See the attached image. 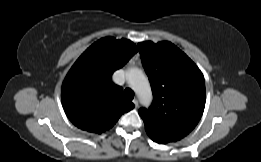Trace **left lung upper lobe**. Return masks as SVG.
<instances>
[{
    "label": "left lung upper lobe",
    "mask_w": 261,
    "mask_h": 162,
    "mask_svg": "<svg viewBox=\"0 0 261 162\" xmlns=\"http://www.w3.org/2000/svg\"><path fill=\"white\" fill-rule=\"evenodd\" d=\"M153 103L139 115L152 140L175 142L198 124L205 107V81L194 62L168 41L138 44Z\"/></svg>",
    "instance_id": "obj_1"
}]
</instances>
